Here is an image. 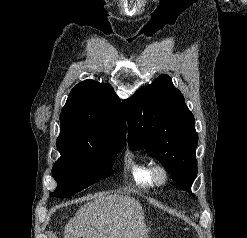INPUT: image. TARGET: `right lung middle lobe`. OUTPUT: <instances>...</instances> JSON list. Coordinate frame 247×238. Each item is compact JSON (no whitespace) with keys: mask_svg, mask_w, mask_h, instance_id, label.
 <instances>
[{"mask_svg":"<svg viewBox=\"0 0 247 238\" xmlns=\"http://www.w3.org/2000/svg\"><path fill=\"white\" fill-rule=\"evenodd\" d=\"M124 142L96 143L84 139H57L60 158L52 168L57 188L50 195L69 197L107 177Z\"/></svg>","mask_w":247,"mask_h":238,"instance_id":"1","label":"right lung middle lobe"}]
</instances>
